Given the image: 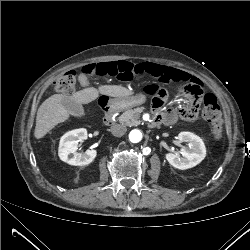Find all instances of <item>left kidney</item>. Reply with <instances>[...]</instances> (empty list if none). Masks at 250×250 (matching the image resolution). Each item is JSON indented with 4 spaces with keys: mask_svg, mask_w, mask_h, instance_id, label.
<instances>
[{
    "mask_svg": "<svg viewBox=\"0 0 250 250\" xmlns=\"http://www.w3.org/2000/svg\"><path fill=\"white\" fill-rule=\"evenodd\" d=\"M180 142H187L189 148H182L180 153H167V161L175 168L186 170L198 165L206 156V148L203 140L191 132H180L178 134Z\"/></svg>",
    "mask_w": 250,
    "mask_h": 250,
    "instance_id": "obj_1",
    "label": "left kidney"
}]
</instances>
